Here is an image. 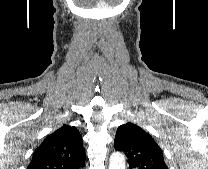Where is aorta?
Wrapping results in <instances>:
<instances>
[{"mask_svg":"<svg viewBox=\"0 0 208 169\" xmlns=\"http://www.w3.org/2000/svg\"><path fill=\"white\" fill-rule=\"evenodd\" d=\"M109 169H125V157L122 153L115 152L110 156Z\"/></svg>","mask_w":208,"mask_h":169,"instance_id":"obj_1","label":"aorta"}]
</instances>
